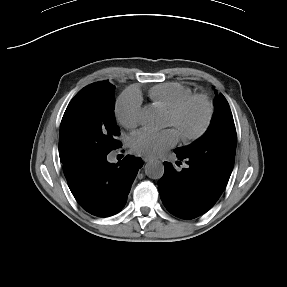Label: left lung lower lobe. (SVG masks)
Masks as SVG:
<instances>
[{
	"instance_id": "obj_1",
	"label": "left lung lower lobe",
	"mask_w": 287,
	"mask_h": 287,
	"mask_svg": "<svg viewBox=\"0 0 287 287\" xmlns=\"http://www.w3.org/2000/svg\"><path fill=\"white\" fill-rule=\"evenodd\" d=\"M175 153L179 160L187 161L188 167L177 172L172 164L164 162L165 172L158 182L160 197L170 213L182 219H193L216 203L226 183L193 157Z\"/></svg>"
}]
</instances>
